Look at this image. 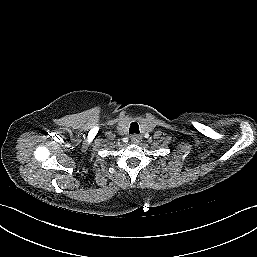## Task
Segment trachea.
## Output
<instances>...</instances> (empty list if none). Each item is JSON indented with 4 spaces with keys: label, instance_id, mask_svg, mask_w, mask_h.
Returning a JSON list of instances; mask_svg holds the SVG:
<instances>
[{
    "label": "trachea",
    "instance_id": "1",
    "mask_svg": "<svg viewBox=\"0 0 257 257\" xmlns=\"http://www.w3.org/2000/svg\"><path fill=\"white\" fill-rule=\"evenodd\" d=\"M134 133H136V134L140 133V131H139V125H138L137 122H132V123L130 124L129 134H134Z\"/></svg>",
    "mask_w": 257,
    "mask_h": 257
}]
</instances>
